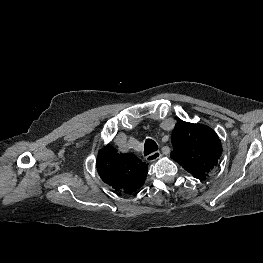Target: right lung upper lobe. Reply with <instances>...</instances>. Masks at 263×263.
Returning <instances> with one entry per match:
<instances>
[{"instance_id": "1", "label": "right lung upper lobe", "mask_w": 263, "mask_h": 263, "mask_svg": "<svg viewBox=\"0 0 263 263\" xmlns=\"http://www.w3.org/2000/svg\"><path fill=\"white\" fill-rule=\"evenodd\" d=\"M96 166L105 183L116 191L126 193L135 192L143 186L148 172V164L132 153H117L109 144L99 151Z\"/></svg>"}]
</instances>
